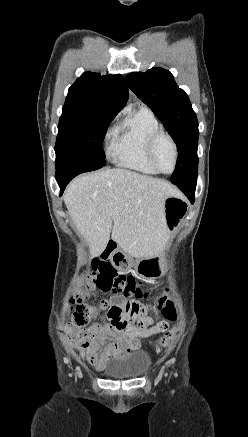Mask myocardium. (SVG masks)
<instances>
[{"label":"myocardium","instance_id":"1","mask_svg":"<svg viewBox=\"0 0 248 437\" xmlns=\"http://www.w3.org/2000/svg\"><path fill=\"white\" fill-rule=\"evenodd\" d=\"M162 138H166L170 141V143L173 147V151H174V164H173V168L170 172L163 171L159 167L157 160H156V155H155L156 146H157L158 142L160 141V139H162ZM146 153H147V157H148L150 164L154 167V169L158 173L168 175V174L173 173L176 170L178 160H179V149H178V145L176 143V140L169 133L162 131V130H158L155 133H153L148 140L147 147H146Z\"/></svg>","mask_w":248,"mask_h":437}]
</instances>
